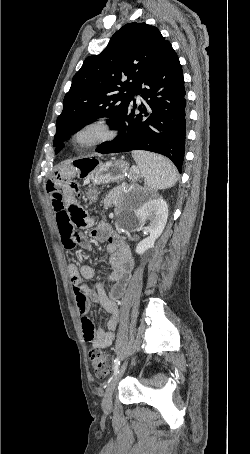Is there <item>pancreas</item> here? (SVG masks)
Instances as JSON below:
<instances>
[{
  "label": "pancreas",
  "mask_w": 250,
  "mask_h": 454,
  "mask_svg": "<svg viewBox=\"0 0 250 454\" xmlns=\"http://www.w3.org/2000/svg\"><path fill=\"white\" fill-rule=\"evenodd\" d=\"M121 196L118 188L112 189L101 202L104 204V208L107 209L112 206H118Z\"/></svg>",
  "instance_id": "pancreas-1"
}]
</instances>
